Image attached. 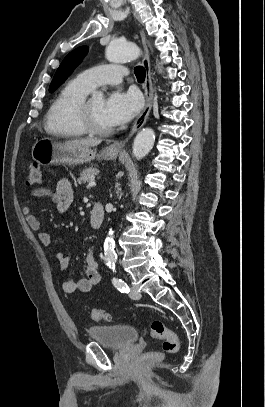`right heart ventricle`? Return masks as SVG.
<instances>
[{"mask_svg": "<svg viewBox=\"0 0 265 407\" xmlns=\"http://www.w3.org/2000/svg\"><path fill=\"white\" fill-rule=\"evenodd\" d=\"M91 91L77 77L67 82L53 99L44 127L48 134L57 138H81L86 133L75 119V108Z\"/></svg>", "mask_w": 265, "mask_h": 407, "instance_id": "right-heart-ventricle-1", "label": "right heart ventricle"}]
</instances>
